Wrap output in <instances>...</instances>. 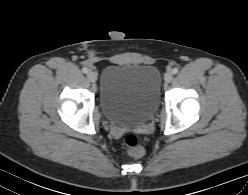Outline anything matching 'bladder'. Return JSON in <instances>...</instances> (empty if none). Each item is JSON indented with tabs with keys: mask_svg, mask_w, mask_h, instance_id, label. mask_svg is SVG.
<instances>
[{
	"mask_svg": "<svg viewBox=\"0 0 248 195\" xmlns=\"http://www.w3.org/2000/svg\"><path fill=\"white\" fill-rule=\"evenodd\" d=\"M161 84L160 72L153 65H111L100 77L101 110L113 124L138 127L154 114Z\"/></svg>",
	"mask_w": 248,
	"mask_h": 195,
	"instance_id": "1",
	"label": "bladder"
}]
</instances>
